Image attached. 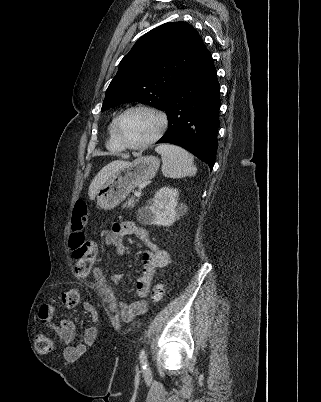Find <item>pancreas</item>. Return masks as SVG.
Wrapping results in <instances>:
<instances>
[{
	"instance_id": "pancreas-1",
	"label": "pancreas",
	"mask_w": 321,
	"mask_h": 402,
	"mask_svg": "<svg viewBox=\"0 0 321 402\" xmlns=\"http://www.w3.org/2000/svg\"><path fill=\"white\" fill-rule=\"evenodd\" d=\"M136 200L134 198L129 199L127 202L124 203L123 208L131 209L135 206Z\"/></svg>"
}]
</instances>
